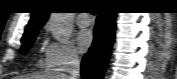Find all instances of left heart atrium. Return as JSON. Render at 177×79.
Masks as SVG:
<instances>
[{
  "instance_id": "left-heart-atrium-1",
  "label": "left heart atrium",
  "mask_w": 177,
  "mask_h": 79,
  "mask_svg": "<svg viewBox=\"0 0 177 79\" xmlns=\"http://www.w3.org/2000/svg\"><path fill=\"white\" fill-rule=\"evenodd\" d=\"M94 36L88 29H83L78 32L76 42L81 52L87 51L93 44Z\"/></svg>"
}]
</instances>
